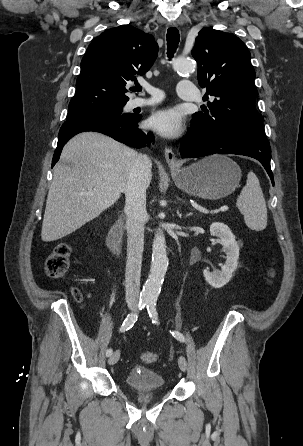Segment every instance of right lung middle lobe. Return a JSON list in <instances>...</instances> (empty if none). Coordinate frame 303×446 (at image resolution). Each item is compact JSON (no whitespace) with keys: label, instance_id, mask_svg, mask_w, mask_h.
Returning <instances> with one entry per match:
<instances>
[{"label":"right lung middle lobe","instance_id":"1","mask_svg":"<svg viewBox=\"0 0 303 446\" xmlns=\"http://www.w3.org/2000/svg\"><path fill=\"white\" fill-rule=\"evenodd\" d=\"M124 105L125 104L99 107V108H95L91 111H83V110L76 109V108H69L67 119L75 117V116H79V115L89 114V113H103V114L124 116V117L132 116V114H122Z\"/></svg>","mask_w":303,"mask_h":446}]
</instances>
